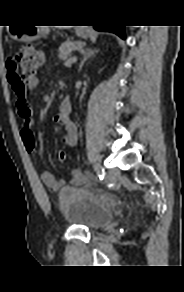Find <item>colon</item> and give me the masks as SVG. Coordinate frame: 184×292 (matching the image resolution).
<instances>
[{"label": "colon", "mask_w": 184, "mask_h": 292, "mask_svg": "<svg viewBox=\"0 0 184 292\" xmlns=\"http://www.w3.org/2000/svg\"><path fill=\"white\" fill-rule=\"evenodd\" d=\"M43 63L44 54L31 46H23L19 48L7 62L9 81L22 94L27 108L31 112H33V107L32 103L26 96V90L29 88L28 83L35 77ZM23 142L29 152L36 151L34 134L31 131L24 132ZM65 157L66 154L64 151H58L54 156V159L58 162H62Z\"/></svg>", "instance_id": "obj_1"}]
</instances>
